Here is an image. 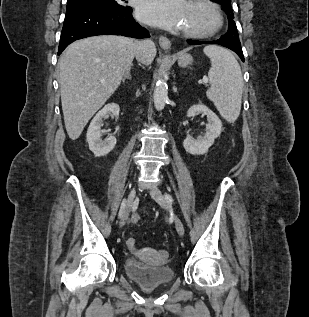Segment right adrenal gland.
Instances as JSON below:
<instances>
[{"instance_id":"1","label":"right adrenal gland","mask_w":309,"mask_h":317,"mask_svg":"<svg viewBox=\"0 0 309 317\" xmlns=\"http://www.w3.org/2000/svg\"><path fill=\"white\" fill-rule=\"evenodd\" d=\"M130 71H131V67H129V68L126 70V72H125V74H124V77L122 78V81H123V82H125L126 79L131 80Z\"/></svg>"}]
</instances>
